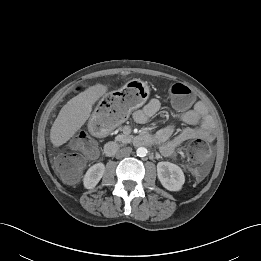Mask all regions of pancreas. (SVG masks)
I'll return each instance as SVG.
<instances>
[{"mask_svg": "<svg viewBox=\"0 0 261 261\" xmlns=\"http://www.w3.org/2000/svg\"><path fill=\"white\" fill-rule=\"evenodd\" d=\"M131 138L132 137L128 134H119L116 136L115 140L119 141L123 144H127V143L131 142Z\"/></svg>", "mask_w": 261, "mask_h": 261, "instance_id": "obj_1", "label": "pancreas"}]
</instances>
